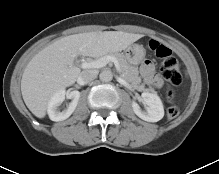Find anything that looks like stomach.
Listing matches in <instances>:
<instances>
[{"label": "stomach", "instance_id": "1", "mask_svg": "<svg viewBox=\"0 0 219 174\" xmlns=\"http://www.w3.org/2000/svg\"><path fill=\"white\" fill-rule=\"evenodd\" d=\"M145 56V49L142 45L132 44L126 49L125 58L130 64H139Z\"/></svg>", "mask_w": 219, "mask_h": 174}]
</instances>
